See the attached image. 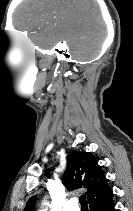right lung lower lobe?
I'll use <instances>...</instances> for the list:
<instances>
[{"mask_svg":"<svg viewBox=\"0 0 133 211\" xmlns=\"http://www.w3.org/2000/svg\"><path fill=\"white\" fill-rule=\"evenodd\" d=\"M91 211H115L112 198L106 202L99 203L90 207Z\"/></svg>","mask_w":133,"mask_h":211,"instance_id":"obj_1","label":"right lung lower lobe"}]
</instances>
